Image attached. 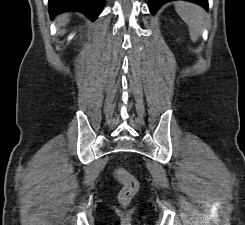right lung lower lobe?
Here are the masks:
<instances>
[{
  "instance_id": "right-lung-lower-lobe-1",
  "label": "right lung lower lobe",
  "mask_w": 245,
  "mask_h": 225,
  "mask_svg": "<svg viewBox=\"0 0 245 225\" xmlns=\"http://www.w3.org/2000/svg\"><path fill=\"white\" fill-rule=\"evenodd\" d=\"M105 0H49V13L53 18L66 11L82 12L91 19H95L102 11Z\"/></svg>"
}]
</instances>
